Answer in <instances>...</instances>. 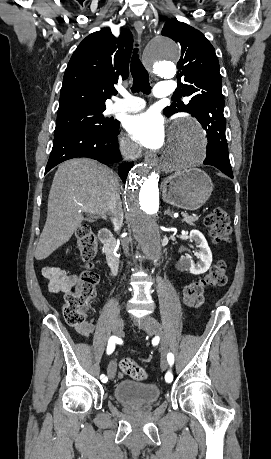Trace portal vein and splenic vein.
Segmentation results:
<instances>
[{
	"label": "portal vein and splenic vein",
	"instance_id": "1",
	"mask_svg": "<svg viewBox=\"0 0 271 459\" xmlns=\"http://www.w3.org/2000/svg\"><path fill=\"white\" fill-rule=\"evenodd\" d=\"M79 212H82V210H79ZM183 215H184V217H187V216H188V215L186 214V212H183ZM183 215L181 214V217H182Z\"/></svg>",
	"mask_w": 271,
	"mask_h": 459
}]
</instances>
